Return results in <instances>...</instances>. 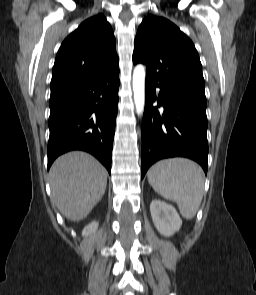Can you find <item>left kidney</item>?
<instances>
[{"label":"left kidney","instance_id":"left-kidney-1","mask_svg":"<svg viewBox=\"0 0 256 295\" xmlns=\"http://www.w3.org/2000/svg\"><path fill=\"white\" fill-rule=\"evenodd\" d=\"M150 212L153 223L161 235L170 237L179 231L182 220L172 205L153 200L150 204Z\"/></svg>","mask_w":256,"mask_h":295}]
</instances>
